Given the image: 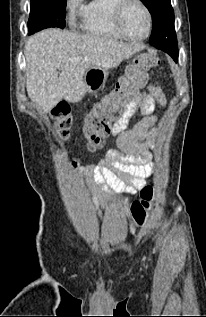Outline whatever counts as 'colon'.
Returning a JSON list of instances; mask_svg holds the SVG:
<instances>
[{"instance_id": "colon-1", "label": "colon", "mask_w": 206, "mask_h": 317, "mask_svg": "<svg viewBox=\"0 0 206 317\" xmlns=\"http://www.w3.org/2000/svg\"><path fill=\"white\" fill-rule=\"evenodd\" d=\"M158 60L155 56H143L126 69L125 74L118 80L116 87L99 102L86 116L83 131L90 150L103 146L105 138L111 133L115 124L122 118L128 104L137 96L148 81V71L155 67ZM56 127L61 137H66L71 128L72 118L69 107L59 104L53 109ZM76 164V163H74ZM153 198L152 187L141 191V199L131 206V214L138 225H143L147 211Z\"/></svg>"}]
</instances>
